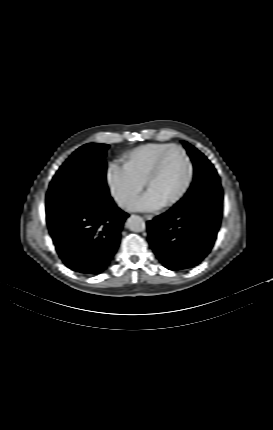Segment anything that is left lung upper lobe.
I'll return each instance as SVG.
<instances>
[{
	"label": "left lung upper lobe",
	"mask_w": 273,
	"mask_h": 430,
	"mask_svg": "<svg viewBox=\"0 0 273 430\" xmlns=\"http://www.w3.org/2000/svg\"><path fill=\"white\" fill-rule=\"evenodd\" d=\"M194 164V181L189 191L203 187L205 183H220V178L211 162L189 143L182 142Z\"/></svg>",
	"instance_id": "1"
}]
</instances>
